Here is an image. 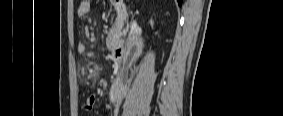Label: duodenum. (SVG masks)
<instances>
[{
  "instance_id": "1",
  "label": "duodenum",
  "mask_w": 283,
  "mask_h": 116,
  "mask_svg": "<svg viewBox=\"0 0 283 116\" xmlns=\"http://www.w3.org/2000/svg\"><path fill=\"white\" fill-rule=\"evenodd\" d=\"M115 10H116L118 19L120 21H124L127 17V8L122 4H118L115 6ZM112 56L115 60H117L118 62L122 64L129 62V60L126 57V49H125V45L123 42H119L116 44V46L112 50ZM119 85L122 87H125L124 82H122L121 80H116L115 86H119Z\"/></svg>"
}]
</instances>
